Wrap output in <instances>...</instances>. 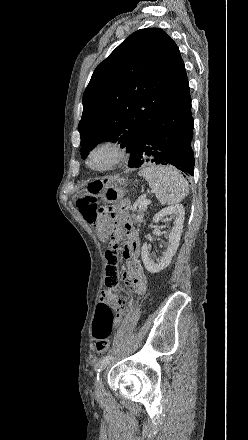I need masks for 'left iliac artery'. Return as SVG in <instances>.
Masks as SVG:
<instances>
[{"instance_id":"left-iliac-artery-1","label":"left iliac artery","mask_w":248,"mask_h":440,"mask_svg":"<svg viewBox=\"0 0 248 440\" xmlns=\"http://www.w3.org/2000/svg\"><path fill=\"white\" fill-rule=\"evenodd\" d=\"M110 359H111V356H110V354H108V355H106V356H104L101 360H100V362H99V367H98V374H97V380H98V378H99V373L106 367V365L109 363V361H110Z\"/></svg>"}]
</instances>
